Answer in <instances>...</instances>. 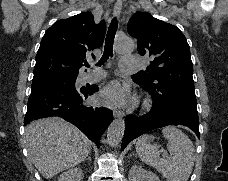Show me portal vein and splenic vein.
<instances>
[{"label": "portal vein and splenic vein", "instance_id": "1", "mask_svg": "<svg viewBox=\"0 0 228 181\" xmlns=\"http://www.w3.org/2000/svg\"><path fill=\"white\" fill-rule=\"evenodd\" d=\"M163 157H168L167 153H163Z\"/></svg>", "mask_w": 228, "mask_h": 181}]
</instances>
